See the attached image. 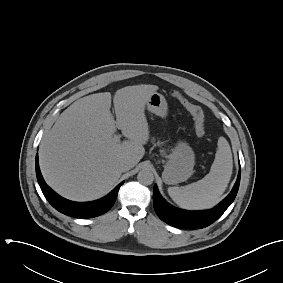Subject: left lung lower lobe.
<instances>
[{"mask_svg": "<svg viewBox=\"0 0 283 283\" xmlns=\"http://www.w3.org/2000/svg\"><path fill=\"white\" fill-rule=\"evenodd\" d=\"M240 175L241 169H239L237 181L228 196L213 209L205 211H187L171 206L161 197L155 185L153 190L154 209L159 218L171 226L182 229L207 227L216 221L234 201L239 189Z\"/></svg>", "mask_w": 283, "mask_h": 283, "instance_id": "obj_1", "label": "left lung lower lobe"}]
</instances>
